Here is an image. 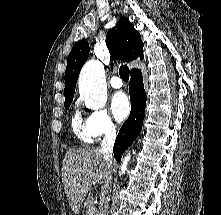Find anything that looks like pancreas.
I'll use <instances>...</instances> for the list:
<instances>
[{"instance_id": "cf45deb5", "label": "pancreas", "mask_w": 221, "mask_h": 215, "mask_svg": "<svg viewBox=\"0 0 221 215\" xmlns=\"http://www.w3.org/2000/svg\"><path fill=\"white\" fill-rule=\"evenodd\" d=\"M93 201L94 197L92 195H89L86 200L85 207L89 209L91 206H93ZM93 215H100V214L98 213V211H96Z\"/></svg>"}]
</instances>
